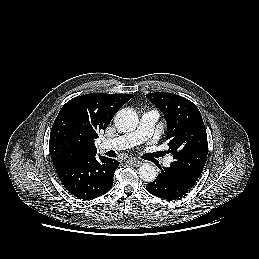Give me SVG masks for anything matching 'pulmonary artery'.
<instances>
[{"label": "pulmonary artery", "instance_id": "e3ab8cb5", "mask_svg": "<svg viewBox=\"0 0 259 259\" xmlns=\"http://www.w3.org/2000/svg\"><path fill=\"white\" fill-rule=\"evenodd\" d=\"M158 117L159 115L156 111L150 110L144 112L141 116L140 124L135 131L118 136L113 139L105 140L104 146L115 150H122L144 142L152 134ZM171 162L172 158H167L164 161V165L166 167H169Z\"/></svg>", "mask_w": 259, "mask_h": 259}]
</instances>
